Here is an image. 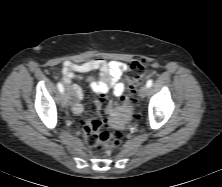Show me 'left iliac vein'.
Wrapping results in <instances>:
<instances>
[{"label": "left iliac vein", "mask_w": 222, "mask_h": 187, "mask_svg": "<svg viewBox=\"0 0 222 187\" xmlns=\"http://www.w3.org/2000/svg\"><path fill=\"white\" fill-rule=\"evenodd\" d=\"M149 88L147 87V85H144L141 87L140 91H139V96L141 98H145L146 95L148 94Z\"/></svg>", "instance_id": "left-iliac-vein-1"}]
</instances>
